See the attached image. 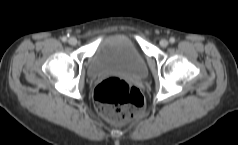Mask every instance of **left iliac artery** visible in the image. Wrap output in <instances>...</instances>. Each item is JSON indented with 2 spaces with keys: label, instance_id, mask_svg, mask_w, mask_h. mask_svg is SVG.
Segmentation results:
<instances>
[{
  "label": "left iliac artery",
  "instance_id": "44dca946",
  "mask_svg": "<svg viewBox=\"0 0 238 145\" xmlns=\"http://www.w3.org/2000/svg\"><path fill=\"white\" fill-rule=\"evenodd\" d=\"M169 41H170V43L173 44V43H175V38H174V37H171Z\"/></svg>",
  "mask_w": 238,
  "mask_h": 145
}]
</instances>
